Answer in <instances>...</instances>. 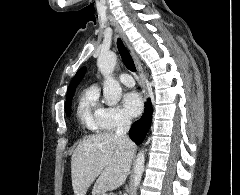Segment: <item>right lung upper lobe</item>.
<instances>
[{
	"instance_id": "right-lung-upper-lobe-1",
	"label": "right lung upper lobe",
	"mask_w": 240,
	"mask_h": 195,
	"mask_svg": "<svg viewBox=\"0 0 240 195\" xmlns=\"http://www.w3.org/2000/svg\"><path fill=\"white\" fill-rule=\"evenodd\" d=\"M85 71H86L85 68H81L76 73V75L74 76L72 81L70 82V85H69L68 90H67L66 105L71 103V99H72V96L74 94L75 88L77 87V85L80 83V81L84 77Z\"/></svg>"
}]
</instances>
